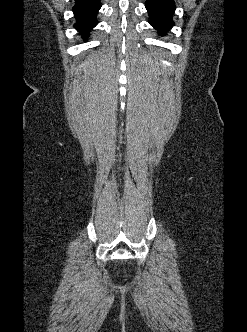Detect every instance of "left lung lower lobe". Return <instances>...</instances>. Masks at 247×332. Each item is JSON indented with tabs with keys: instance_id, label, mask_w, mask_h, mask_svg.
<instances>
[{
	"instance_id": "0a47b994",
	"label": "left lung lower lobe",
	"mask_w": 247,
	"mask_h": 332,
	"mask_svg": "<svg viewBox=\"0 0 247 332\" xmlns=\"http://www.w3.org/2000/svg\"><path fill=\"white\" fill-rule=\"evenodd\" d=\"M145 7L150 18L149 23L158 30L159 35L165 36L174 25V0H146Z\"/></svg>"
}]
</instances>
